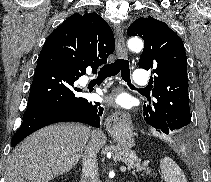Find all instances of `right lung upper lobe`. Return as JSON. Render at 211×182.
Segmentation results:
<instances>
[{"label":"right lung upper lobe","instance_id":"right-lung-upper-lobe-1","mask_svg":"<svg viewBox=\"0 0 211 182\" xmlns=\"http://www.w3.org/2000/svg\"><path fill=\"white\" fill-rule=\"evenodd\" d=\"M64 24L95 67L107 63L108 56L115 50V40L110 26L98 14L76 13L61 25Z\"/></svg>","mask_w":211,"mask_h":182}]
</instances>
